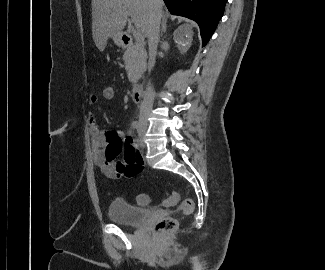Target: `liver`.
Here are the masks:
<instances>
[{"mask_svg":"<svg viewBox=\"0 0 325 270\" xmlns=\"http://www.w3.org/2000/svg\"><path fill=\"white\" fill-rule=\"evenodd\" d=\"M160 6L162 12V0ZM127 13L137 30L147 37L152 13L150 0H92V37L100 51L110 37L121 34Z\"/></svg>","mask_w":325,"mask_h":270,"instance_id":"liver-1","label":"liver"}]
</instances>
